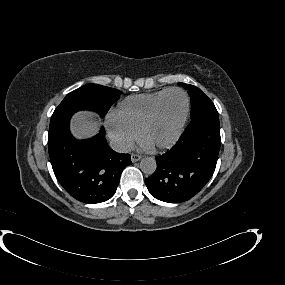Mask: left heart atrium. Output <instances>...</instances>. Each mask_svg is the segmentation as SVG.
I'll list each match as a JSON object with an SVG mask.
<instances>
[{"mask_svg":"<svg viewBox=\"0 0 285 285\" xmlns=\"http://www.w3.org/2000/svg\"><path fill=\"white\" fill-rule=\"evenodd\" d=\"M140 147L143 149V150H150L152 149L153 147L150 146L149 144H147L145 141L141 140L140 142Z\"/></svg>","mask_w":285,"mask_h":285,"instance_id":"obj_1","label":"left heart atrium"}]
</instances>
